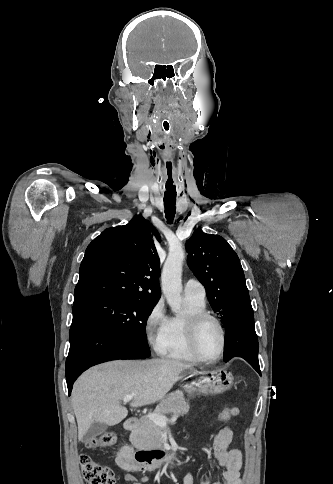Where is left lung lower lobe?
Listing matches in <instances>:
<instances>
[{
  "label": "left lung lower lobe",
  "instance_id": "obj_1",
  "mask_svg": "<svg viewBox=\"0 0 333 484\" xmlns=\"http://www.w3.org/2000/svg\"><path fill=\"white\" fill-rule=\"evenodd\" d=\"M224 361L233 357L245 359L258 373V339L254 328L251 303L238 309L225 327Z\"/></svg>",
  "mask_w": 333,
  "mask_h": 484
}]
</instances>
